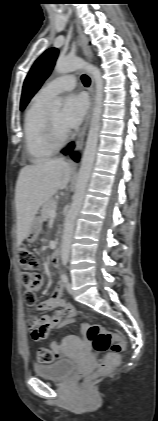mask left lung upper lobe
I'll return each instance as SVG.
<instances>
[{
  "mask_svg": "<svg viewBox=\"0 0 158 421\" xmlns=\"http://www.w3.org/2000/svg\"><path fill=\"white\" fill-rule=\"evenodd\" d=\"M58 55L56 48L46 50L34 63L27 75L22 91L20 109L23 110L49 76Z\"/></svg>",
  "mask_w": 158,
  "mask_h": 421,
  "instance_id": "left-lung-upper-lobe-1",
  "label": "left lung upper lobe"
}]
</instances>
